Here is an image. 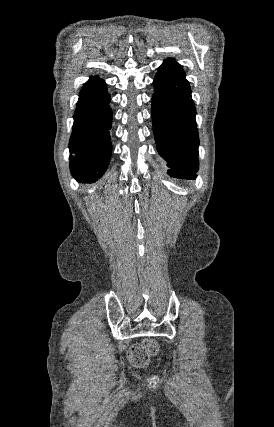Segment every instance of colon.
<instances>
[{
  "label": "colon",
  "instance_id": "obj_1",
  "mask_svg": "<svg viewBox=\"0 0 274 427\" xmlns=\"http://www.w3.org/2000/svg\"><path fill=\"white\" fill-rule=\"evenodd\" d=\"M158 352V346L152 341H144L132 345L126 354V358L133 367L142 368L147 365L149 359Z\"/></svg>",
  "mask_w": 274,
  "mask_h": 427
}]
</instances>
